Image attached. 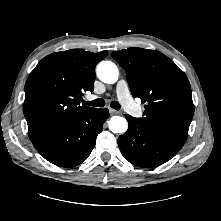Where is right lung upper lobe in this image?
Wrapping results in <instances>:
<instances>
[{"mask_svg":"<svg viewBox=\"0 0 221 221\" xmlns=\"http://www.w3.org/2000/svg\"><path fill=\"white\" fill-rule=\"evenodd\" d=\"M107 54L72 49L52 53L37 64L27 79L23 104L31 141L60 132L96 109L79 100L83 92L93 91L95 66Z\"/></svg>","mask_w":221,"mask_h":221,"instance_id":"cb5924a9","label":"right lung upper lobe"}]
</instances>
